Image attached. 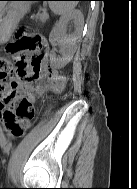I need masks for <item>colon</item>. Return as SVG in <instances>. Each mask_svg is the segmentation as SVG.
Here are the masks:
<instances>
[{
  "instance_id": "colon-1",
  "label": "colon",
  "mask_w": 137,
  "mask_h": 189,
  "mask_svg": "<svg viewBox=\"0 0 137 189\" xmlns=\"http://www.w3.org/2000/svg\"><path fill=\"white\" fill-rule=\"evenodd\" d=\"M47 43L38 34L19 32L14 40L9 43L7 52L13 57V61L7 57L0 56V96L4 95L6 86L10 81L14 67L25 80L31 81L40 78H50L53 69L47 66L42 69V61L47 53ZM23 52L31 53L29 60L22 55ZM35 107L28 100H22L16 110L18 118L27 117L29 114L35 116Z\"/></svg>"
}]
</instances>
